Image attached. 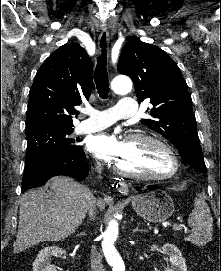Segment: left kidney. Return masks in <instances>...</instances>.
I'll return each instance as SVG.
<instances>
[{
    "label": "left kidney",
    "instance_id": "obj_1",
    "mask_svg": "<svg viewBox=\"0 0 221 271\" xmlns=\"http://www.w3.org/2000/svg\"><path fill=\"white\" fill-rule=\"evenodd\" d=\"M163 251V253H167L170 261L169 267H164L165 271H187V265L185 263V259L178 247L174 245V243H164L162 247H158L156 243L151 245V251ZM155 271H160V269H155Z\"/></svg>",
    "mask_w": 221,
    "mask_h": 271
}]
</instances>
